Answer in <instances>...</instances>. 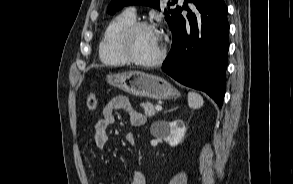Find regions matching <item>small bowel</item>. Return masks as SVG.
I'll list each match as a JSON object with an SVG mask.
<instances>
[{
  "mask_svg": "<svg viewBox=\"0 0 293 184\" xmlns=\"http://www.w3.org/2000/svg\"><path fill=\"white\" fill-rule=\"evenodd\" d=\"M124 111L133 126H141L145 123L146 117L143 113L134 108L128 98L124 96H116L112 98L103 108L101 117L96 121L94 126L93 140L99 149L107 147L109 142L108 128L115 122V113ZM125 141L130 144H135V136L132 133L125 135ZM96 184H103L96 182ZM130 184H146V178L140 171L133 173Z\"/></svg>",
  "mask_w": 293,
  "mask_h": 184,
  "instance_id": "c3829d8e",
  "label": "small bowel"
}]
</instances>
